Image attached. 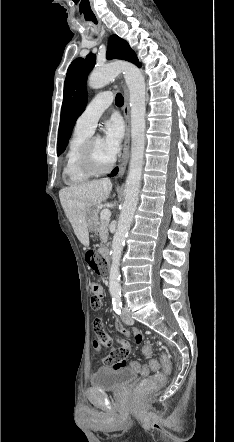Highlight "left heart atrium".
I'll list each match as a JSON object with an SVG mask.
<instances>
[{
  "label": "left heart atrium",
  "instance_id": "obj_1",
  "mask_svg": "<svg viewBox=\"0 0 234 442\" xmlns=\"http://www.w3.org/2000/svg\"><path fill=\"white\" fill-rule=\"evenodd\" d=\"M123 136L124 126L119 117L113 116L105 122L102 142L104 150L112 159L120 150Z\"/></svg>",
  "mask_w": 234,
  "mask_h": 442
}]
</instances>
